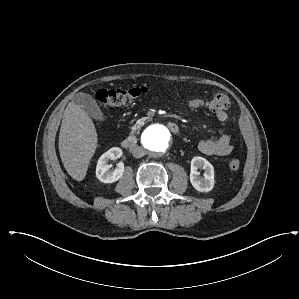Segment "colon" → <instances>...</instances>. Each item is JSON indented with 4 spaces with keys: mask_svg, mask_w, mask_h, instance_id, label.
Wrapping results in <instances>:
<instances>
[{
    "mask_svg": "<svg viewBox=\"0 0 299 299\" xmlns=\"http://www.w3.org/2000/svg\"><path fill=\"white\" fill-rule=\"evenodd\" d=\"M146 87L138 86L129 89H101L98 91L97 99L103 105L109 108H116L122 105H127L133 100L145 94ZM241 166V161L233 158L229 161V167L232 170H237Z\"/></svg>",
    "mask_w": 299,
    "mask_h": 299,
    "instance_id": "1",
    "label": "colon"
}]
</instances>
